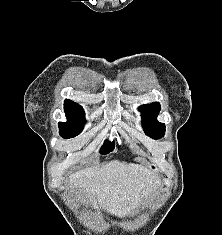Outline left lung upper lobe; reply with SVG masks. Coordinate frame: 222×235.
<instances>
[{
    "instance_id": "5c2ea615",
    "label": "left lung upper lobe",
    "mask_w": 222,
    "mask_h": 235,
    "mask_svg": "<svg viewBox=\"0 0 222 235\" xmlns=\"http://www.w3.org/2000/svg\"><path fill=\"white\" fill-rule=\"evenodd\" d=\"M161 106L158 102H153L149 105H143L139 107L141 116L143 118V129L146 135L153 139H159L164 136L165 125L156 120Z\"/></svg>"
}]
</instances>
